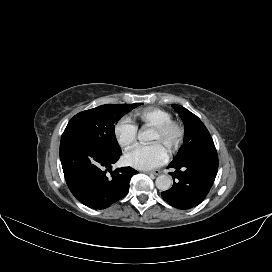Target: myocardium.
Returning <instances> with one entry per match:
<instances>
[{
	"instance_id": "1",
	"label": "myocardium",
	"mask_w": 272,
	"mask_h": 272,
	"mask_svg": "<svg viewBox=\"0 0 272 272\" xmlns=\"http://www.w3.org/2000/svg\"><path fill=\"white\" fill-rule=\"evenodd\" d=\"M156 131L162 138L165 147L174 151L180 147L185 136V129L181 122L170 119L156 127Z\"/></svg>"
}]
</instances>
